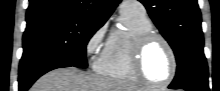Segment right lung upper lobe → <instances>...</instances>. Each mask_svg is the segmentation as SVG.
Segmentation results:
<instances>
[{"label": "right lung upper lobe", "instance_id": "right-lung-upper-lobe-1", "mask_svg": "<svg viewBox=\"0 0 220 91\" xmlns=\"http://www.w3.org/2000/svg\"><path fill=\"white\" fill-rule=\"evenodd\" d=\"M27 24L55 18L85 20L103 25L121 0H30Z\"/></svg>", "mask_w": 220, "mask_h": 91}]
</instances>
